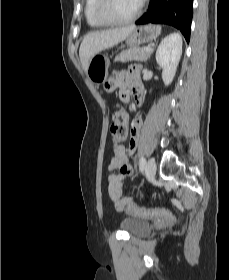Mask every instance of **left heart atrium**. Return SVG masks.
<instances>
[{
    "label": "left heart atrium",
    "mask_w": 229,
    "mask_h": 280,
    "mask_svg": "<svg viewBox=\"0 0 229 280\" xmlns=\"http://www.w3.org/2000/svg\"><path fill=\"white\" fill-rule=\"evenodd\" d=\"M144 0H138L139 4H141Z\"/></svg>",
    "instance_id": "left-heart-atrium-1"
}]
</instances>
